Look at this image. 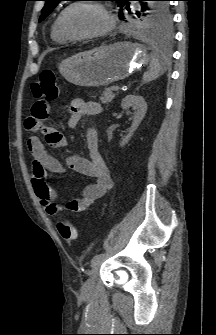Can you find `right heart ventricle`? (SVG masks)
Returning a JSON list of instances; mask_svg holds the SVG:
<instances>
[{
    "label": "right heart ventricle",
    "instance_id": "e07e8e85",
    "mask_svg": "<svg viewBox=\"0 0 216 335\" xmlns=\"http://www.w3.org/2000/svg\"><path fill=\"white\" fill-rule=\"evenodd\" d=\"M57 19L58 17L55 19V21L52 24L51 27V38L57 42V43H66L68 41V39H66L59 31L58 29V25H57Z\"/></svg>",
    "mask_w": 216,
    "mask_h": 335
}]
</instances>
